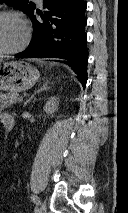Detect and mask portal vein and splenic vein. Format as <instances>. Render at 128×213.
Masks as SVG:
<instances>
[{"label": "portal vein and splenic vein", "instance_id": "obj_1", "mask_svg": "<svg viewBox=\"0 0 128 213\" xmlns=\"http://www.w3.org/2000/svg\"><path fill=\"white\" fill-rule=\"evenodd\" d=\"M23 100V97H20V101H22Z\"/></svg>", "mask_w": 128, "mask_h": 213}]
</instances>
